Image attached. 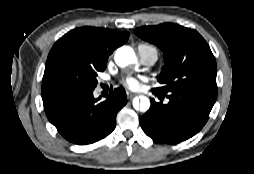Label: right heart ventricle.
<instances>
[{
	"label": "right heart ventricle",
	"mask_w": 254,
	"mask_h": 174,
	"mask_svg": "<svg viewBox=\"0 0 254 174\" xmlns=\"http://www.w3.org/2000/svg\"><path fill=\"white\" fill-rule=\"evenodd\" d=\"M142 45H143V46H149V47H152V46H150V45H145V44H141L140 46H142Z\"/></svg>",
	"instance_id": "1"
}]
</instances>
